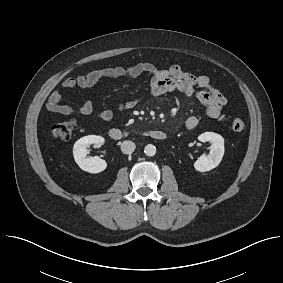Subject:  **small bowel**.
I'll return each instance as SVG.
<instances>
[{
	"label": "small bowel",
	"instance_id": "obj_1",
	"mask_svg": "<svg viewBox=\"0 0 283 283\" xmlns=\"http://www.w3.org/2000/svg\"><path fill=\"white\" fill-rule=\"evenodd\" d=\"M143 74L150 76L148 92L157 97L168 92L179 91L186 96L195 98L205 107V113L210 118H217L227 104L224 94L212 84L206 75H194L185 71L180 65L174 64L168 69H159L151 63H138L131 66L104 67L95 69L88 74L77 77H67L61 85L65 89L75 87L88 89L103 78H137ZM62 95L58 90L50 93L46 108L48 111L61 115H94L102 121L112 118V111L108 109H95L89 99L77 107L61 104ZM136 98H130L118 105L119 110H128L137 104ZM199 124L195 115L185 120V127L192 130Z\"/></svg>",
	"mask_w": 283,
	"mask_h": 283
}]
</instances>
